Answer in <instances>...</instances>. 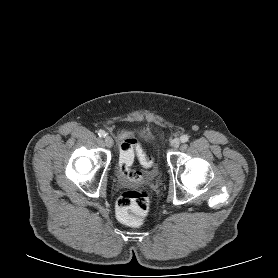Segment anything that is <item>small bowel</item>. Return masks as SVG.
<instances>
[{
	"label": "small bowel",
	"instance_id": "c3829d8e",
	"mask_svg": "<svg viewBox=\"0 0 278 278\" xmlns=\"http://www.w3.org/2000/svg\"><path fill=\"white\" fill-rule=\"evenodd\" d=\"M120 137H121L122 139H124V141H125V140H129V139H132V138H130V133L127 132V131H121V132H120Z\"/></svg>",
	"mask_w": 278,
	"mask_h": 278
}]
</instances>
